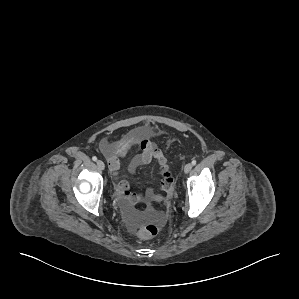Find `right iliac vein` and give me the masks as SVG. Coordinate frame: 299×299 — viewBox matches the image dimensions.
<instances>
[{
    "label": "right iliac vein",
    "mask_w": 299,
    "mask_h": 299,
    "mask_svg": "<svg viewBox=\"0 0 299 299\" xmlns=\"http://www.w3.org/2000/svg\"><path fill=\"white\" fill-rule=\"evenodd\" d=\"M97 166H98V168H99L100 170H104V168H105V164H104V162L101 161V160H98V161H97Z\"/></svg>",
    "instance_id": "right-iliac-vein-1"
}]
</instances>
